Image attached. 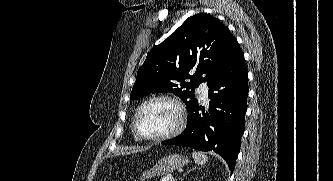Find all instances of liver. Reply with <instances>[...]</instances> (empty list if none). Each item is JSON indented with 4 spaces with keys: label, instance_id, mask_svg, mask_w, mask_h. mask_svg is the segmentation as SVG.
<instances>
[{
    "label": "liver",
    "instance_id": "1",
    "mask_svg": "<svg viewBox=\"0 0 333 181\" xmlns=\"http://www.w3.org/2000/svg\"><path fill=\"white\" fill-rule=\"evenodd\" d=\"M144 150H146V148L145 149H133V150H129V151H126V152H121V154H123V155H125V154H131V153H133V152H138V151H144Z\"/></svg>",
    "mask_w": 333,
    "mask_h": 181
}]
</instances>
